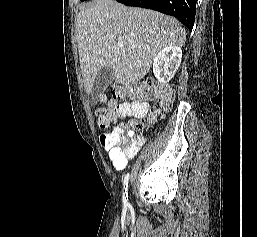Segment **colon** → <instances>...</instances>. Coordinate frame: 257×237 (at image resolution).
I'll return each mask as SVG.
<instances>
[{
	"instance_id": "5ec220e1",
	"label": "colon",
	"mask_w": 257,
	"mask_h": 237,
	"mask_svg": "<svg viewBox=\"0 0 257 237\" xmlns=\"http://www.w3.org/2000/svg\"><path fill=\"white\" fill-rule=\"evenodd\" d=\"M117 94L120 100H147L155 103L154 109L147 120H131L128 122L126 126L127 128L139 131L145 124L152 123L156 117L168 107L169 102L172 99V88L168 85L160 86L154 83H146L135 86L120 87ZM105 100V96L100 97V102H104ZM114 105H116L114 102H110L107 108L99 106L96 110L98 125L100 129L104 131L101 135V141L104 146H114L116 144L123 143L125 139L123 129L118 133L105 132L110 122L109 110Z\"/></svg>"
}]
</instances>
